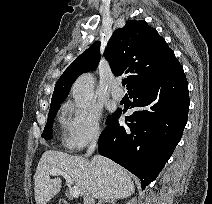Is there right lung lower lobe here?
I'll list each match as a JSON object with an SVG mask.
<instances>
[{
	"label": "right lung lower lobe",
	"instance_id": "98d812e1",
	"mask_svg": "<svg viewBox=\"0 0 212 204\" xmlns=\"http://www.w3.org/2000/svg\"><path fill=\"white\" fill-rule=\"evenodd\" d=\"M129 96L136 111L126 117L125 126L117 122L121 109L107 120L98 150L140 178L144 189L156 179L182 137L189 110L188 83L181 68L130 90Z\"/></svg>",
	"mask_w": 212,
	"mask_h": 204
}]
</instances>
